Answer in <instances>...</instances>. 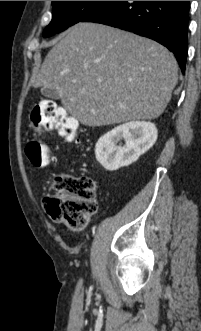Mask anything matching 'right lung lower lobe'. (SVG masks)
I'll use <instances>...</instances> for the list:
<instances>
[{
  "label": "right lung lower lobe",
  "instance_id": "right-lung-lower-lobe-1",
  "mask_svg": "<svg viewBox=\"0 0 201 331\" xmlns=\"http://www.w3.org/2000/svg\"><path fill=\"white\" fill-rule=\"evenodd\" d=\"M189 1H107L81 22H96L151 38L170 49L182 72L187 57Z\"/></svg>",
  "mask_w": 201,
  "mask_h": 331
}]
</instances>
